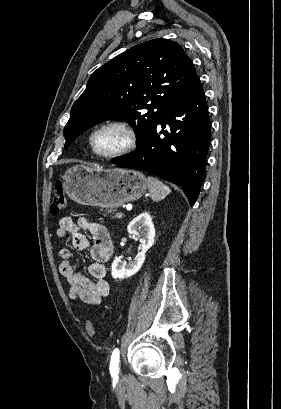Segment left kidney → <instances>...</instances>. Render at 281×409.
I'll use <instances>...</instances> for the list:
<instances>
[{
	"label": "left kidney",
	"instance_id": "left-kidney-1",
	"mask_svg": "<svg viewBox=\"0 0 281 409\" xmlns=\"http://www.w3.org/2000/svg\"><path fill=\"white\" fill-rule=\"evenodd\" d=\"M127 231L130 235L139 237L142 251L138 253L135 259L130 261V263H126V261H121V259L115 257L111 267L113 279H127V277H132V275L138 273L146 259L145 253L154 245L155 229L149 211H144V213L135 217V219L129 223Z\"/></svg>",
	"mask_w": 281,
	"mask_h": 409
}]
</instances>
